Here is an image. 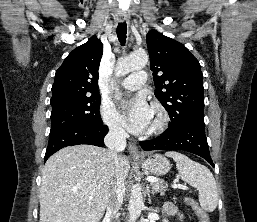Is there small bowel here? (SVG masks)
I'll return each instance as SVG.
<instances>
[{
  "label": "small bowel",
  "mask_w": 257,
  "mask_h": 222,
  "mask_svg": "<svg viewBox=\"0 0 257 222\" xmlns=\"http://www.w3.org/2000/svg\"><path fill=\"white\" fill-rule=\"evenodd\" d=\"M165 213L168 216H173V215L177 216V218L180 221H182V219H183V215L181 213H179L177 211L176 207L173 204H171V203L166 204V206H165ZM165 222H167V221H165Z\"/></svg>",
  "instance_id": "obj_1"
}]
</instances>
